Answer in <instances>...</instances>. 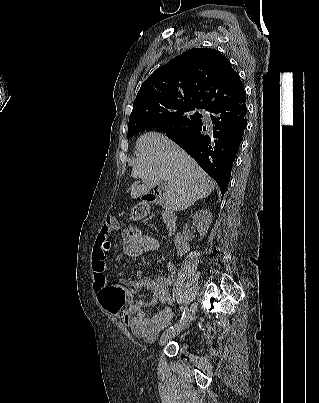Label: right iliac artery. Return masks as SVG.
<instances>
[{
	"label": "right iliac artery",
	"mask_w": 319,
	"mask_h": 403,
	"mask_svg": "<svg viewBox=\"0 0 319 403\" xmlns=\"http://www.w3.org/2000/svg\"><path fill=\"white\" fill-rule=\"evenodd\" d=\"M188 308L187 307H185L184 308V311H183V314H182V317H181V320H180V322L184 319V317L187 315V313H188ZM178 324V323H177ZM177 324H175V326L177 325ZM170 329H173V326H171L168 330H170Z\"/></svg>",
	"instance_id": "right-iliac-artery-1"
}]
</instances>
